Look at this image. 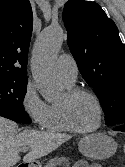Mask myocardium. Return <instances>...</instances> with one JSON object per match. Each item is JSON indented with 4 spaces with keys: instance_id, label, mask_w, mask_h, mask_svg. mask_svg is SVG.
<instances>
[{
    "instance_id": "myocardium-1",
    "label": "myocardium",
    "mask_w": 125,
    "mask_h": 167,
    "mask_svg": "<svg viewBox=\"0 0 125 167\" xmlns=\"http://www.w3.org/2000/svg\"><path fill=\"white\" fill-rule=\"evenodd\" d=\"M80 95H87L90 98H92L97 106V109H98V113H99L98 123L96 126L89 128V129H81V128L77 127L72 119V116H71V103L73 100H75ZM58 106H59L63 121L65 122L67 127L75 133H79V134L93 133V132H96L97 130H99L102 126V123H103L102 103H101L99 97L94 92H92L91 90H89L87 88L73 87V88L68 89L65 93L64 101L58 103Z\"/></svg>"
}]
</instances>
